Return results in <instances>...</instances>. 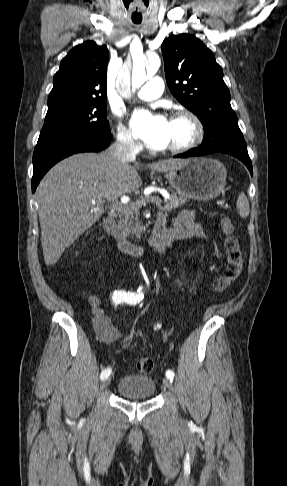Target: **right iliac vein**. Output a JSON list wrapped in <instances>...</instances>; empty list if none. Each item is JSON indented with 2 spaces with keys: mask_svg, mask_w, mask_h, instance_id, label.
<instances>
[{
  "mask_svg": "<svg viewBox=\"0 0 287 486\" xmlns=\"http://www.w3.org/2000/svg\"><path fill=\"white\" fill-rule=\"evenodd\" d=\"M110 384V378H106L101 382L100 388L105 389L109 386Z\"/></svg>",
  "mask_w": 287,
  "mask_h": 486,
  "instance_id": "63e3f726",
  "label": "right iliac vein"
}]
</instances>
